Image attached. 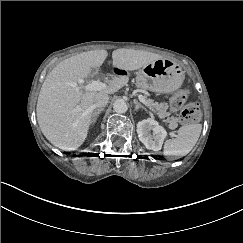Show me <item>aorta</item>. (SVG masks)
<instances>
[{"label": "aorta", "instance_id": "1", "mask_svg": "<svg viewBox=\"0 0 243 243\" xmlns=\"http://www.w3.org/2000/svg\"><path fill=\"white\" fill-rule=\"evenodd\" d=\"M113 109L118 114H124L127 112L128 106L123 99H118L114 102Z\"/></svg>", "mask_w": 243, "mask_h": 243}]
</instances>
